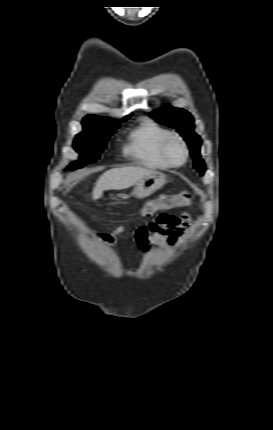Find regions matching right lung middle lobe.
I'll return each mask as SVG.
<instances>
[{
  "instance_id": "1",
  "label": "right lung middle lobe",
  "mask_w": 273,
  "mask_h": 430,
  "mask_svg": "<svg viewBox=\"0 0 273 430\" xmlns=\"http://www.w3.org/2000/svg\"><path fill=\"white\" fill-rule=\"evenodd\" d=\"M118 127L119 124L102 126L83 123L84 131L79 133L74 141V147L81 156L78 161L70 165V169L75 170L96 161L105 149L107 140Z\"/></svg>"
}]
</instances>
